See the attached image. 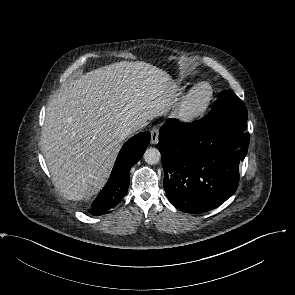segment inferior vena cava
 Here are the masks:
<instances>
[{
  "instance_id": "1",
  "label": "inferior vena cava",
  "mask_w": 295,
  "mask_h": 295,
  "mask_svg": "<svg viewBox=\"0 0 295 295\" xmlns=\"http://www.w3.org/2000/svg\"><path fill=\"white\" fill-rule=\"evenodd\" d=\"M138 129H140L139 125H132V126H128L126 127L120 134H119V138L121 140H124L125 138H127L130 134L136 132Z\"/></svg>"
}]
</instances>
